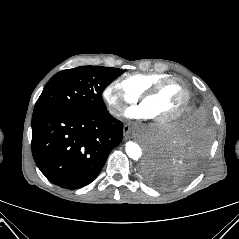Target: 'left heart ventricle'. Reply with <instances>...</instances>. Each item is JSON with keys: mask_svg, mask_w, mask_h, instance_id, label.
<instances>
[{"mask_svg": "<svg viewBox=\"0 0 239 239\" xmlns=\"http://www.w3.org/2000/svg\"><path fill=\"white\" fill-rule=\"evenodd\" d=\"M185 93L178 83H171L142 104L152 119H163L177 112L183 104Z\"/></svg>", "mask_w": 239, "mask_h": 239, "instance_id": "1", "label": "left heart ventricle"}]
</instances>
